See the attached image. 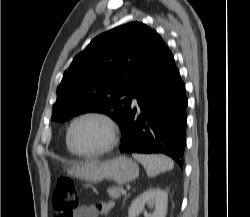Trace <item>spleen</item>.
<instances>
[{
  "mask_svg": "<svg viewBox=\"0 0 250 217\" xmlns=\"http://www.w3.org/2000/svg\"><path fill=\"white\" fill-rule=\"evenodd\" d=\"M132 156L143 165L148 176L151 177L174 168V162L169 157L161 154L146 155L135 153Z\"/></svg>",
  "mask_w": 250,
  "mask_h": 217,
  "instance_id": "3e777b00",
  "label": "spleen"
}]
</instances>
